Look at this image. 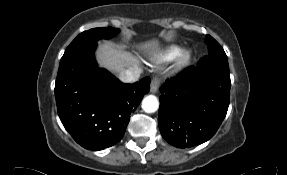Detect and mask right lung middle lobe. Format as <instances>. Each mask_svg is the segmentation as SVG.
<instances>
[{"label": "right lung middle lobe", "instance_id": "dd1d6c3e", "mask_svg": "<svg viewBox=\"0 0 287 175\" xmlns=\"http://www.w3.org/2000/svg\"><path fill=\"white\" fill-rule=\"evenodd\" d=\"M118 31L115 28L108 27V28H94L88 31H84L79 34L67 47L63 57L69 55L72 52H75L82 47L96 43L99 39L105 38L108 39L113 36L114 32Z\"/></svg>", "mask_w": 287, "mask_h": 175}]
</instances>
